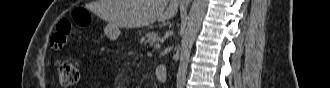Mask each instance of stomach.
<instances>
[{
  "label": "stomach",
  "instance_id": "0dacf381",
  "mask_svg": "<svg viewBox=\"0 0 330 88\" xmlns=\"http://www.w3.org/2000/svg\"><path fill=\"white\" fill-rule=\"evenodd\" d=\"M115 28H117V26H115V25H109L107 27V31H108L107 34L110 38L113 37Z\"/></svg>",
  "mask_w": 330,
  "mask_h": 88
}]
</instances>
